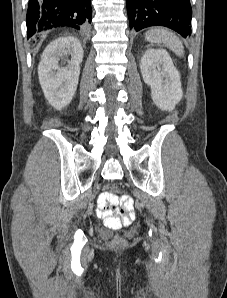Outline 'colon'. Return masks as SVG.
Masks as SVG:
<instances>
[{
    "label": "colon",
    "instance_id": "colon-1",
    "mask_svg": "<svg viewBox=\"0 0 227 298\" xmlns=\"http://www.w3.org/2000/svg\"><path fill=\"white\" fill-rule=\"evenodd\" d=\"M121 201L125 208L130 211L133 208V201L128 195H121L115 193L114 187H108V190L100 195L98 199V207L105 213V223L108 227L116 228L122 224V220L114 216L117 212L118 202ZM126 241L119 235H116L108 240V245L111 248H122Z\"/></svg>",
    "mask_w": 227,
    "mask_h": 298
}]
</instances>
